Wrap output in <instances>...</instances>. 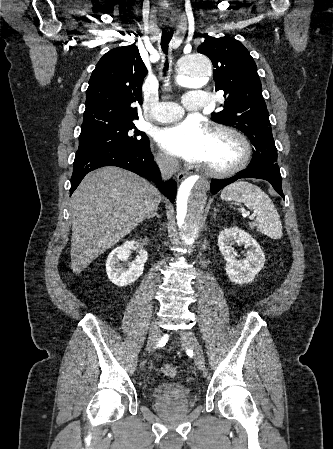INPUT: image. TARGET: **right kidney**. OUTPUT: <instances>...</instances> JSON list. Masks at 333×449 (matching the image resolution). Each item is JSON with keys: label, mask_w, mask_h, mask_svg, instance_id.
I'll return each instance as SVG.
<instances>
[{"label": "right kidney", "mask_w": 333, "mask_h": 449, "mask_svg": "<svg viewBox=\"0 0 333 449\" xmlns=\"http://www.w3.org/2000/svg\"><path fill=\"white\" fill-rule=\"evenodd\" d=\"M139 247V255L126 268L122 261H126L130 251ZM148 259L147 252L136 241L125 242L122 246L112 250L106 260V273L109 280L116 286L123 287L135 282L144 270V264Z\"/></svg>", "instance_id": "ca27d5eb"}]
</instances>
